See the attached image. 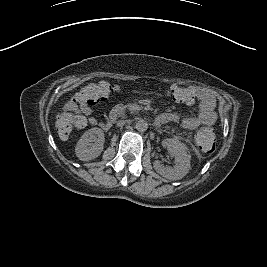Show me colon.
<instances>
[{
    "instance_id": "colon-1",
    "label": "colon",
    "mask_w": 267,
    "mask_h": 267,
    "mask_svg": "<svg viewBox=\"0 0 267 267\" xmlns=\"http://www.w3.org/2000/svg\"><path fill=\"white\" fill-rule=\"evenodd\" d=\"M117 92V87L109 83L100 82L89 84L81 89L78 94L77 101L81 104H97L108 101ZM170 96L174 101L181 104L189 102V93L182 88H173ZM83 118H76L71 114H63L58 118L56 123V131L61 139L70 136L73 126L76 123L83 124ZM196 144L202 154H210L216 148V136L212 129H201L196 133Z\"/></svg>"
}]
</instances>
